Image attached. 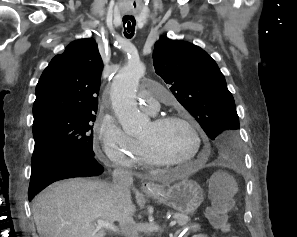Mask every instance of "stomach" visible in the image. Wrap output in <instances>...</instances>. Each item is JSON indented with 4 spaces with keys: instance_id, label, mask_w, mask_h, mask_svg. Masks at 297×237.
<instances>
[{
    "instance_id": "obj_1",
    "label": "stomach",
    "mask_w": 297,
    "mask_h": 237,
    "mask_svg": "<svg viewBox=\"0 0 297 237\" xmlns=\"http://www.w3.org/2000/svg\"><path fill=\"white\" fill-rule=\"evenodd\" d=\"M146 193L159 203L169 206L182 214H193L204 199L200 185L189 179H183L168 188L159 186L156 190Z\"/></svg>"
}]
</instances>
